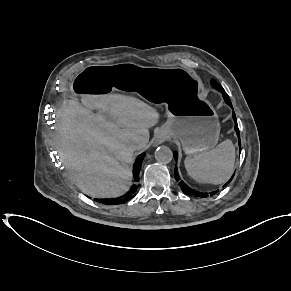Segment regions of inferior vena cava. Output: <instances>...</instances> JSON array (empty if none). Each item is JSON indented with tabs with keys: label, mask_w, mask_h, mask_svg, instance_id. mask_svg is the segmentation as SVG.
Returning <instances> with one entry per match:
<instances>
[{
	"label": "inferior vena cava",
	"mask_w": 291,
	"mask_h": 291,
	"mask_svg": "<svg viewBox=\"0 0 291 291\" xmlns=\"http://www.w3.org/2000/svg\"><path fill=\"white\" fill-rule=\"evenodd\" d=\"M130 149H131L132 151H136V150L139 149V146H138L137 144H131V145H130Z\"/></svg>",
	"instance_id": "602c4592"
}]
</instances>
